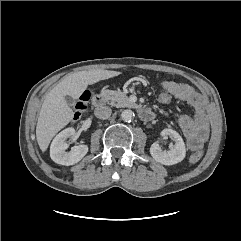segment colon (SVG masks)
I'll list each match as a JSON object with an SVG mask.
<instances>
[{
  "mask_svg": "<svg viewBox=\"0 0 241 241\" xmlns=\"http://www.w3.org/2000/svg\"><path fill=\"white\" fill-rule=\"evenodd\" d=\"M89 94L87 92L83 93L78 101L74 105V120H77L81 117V115L85 112L88 106V101H89ZM173 99L171 93L167 91L166 89H162L158 94H157V101L161 104H167L171 102ZM202 157V152H196L194 153L190 160L192 162H197L201 159Z\"/></svg>",
  "mask_w": 241,
  "mask_h": 241,
  "instance_id": "colon-1",
  "label": "colon"
}]
</instances>
